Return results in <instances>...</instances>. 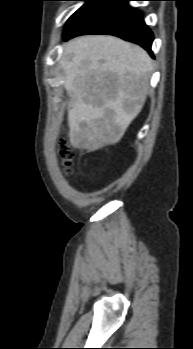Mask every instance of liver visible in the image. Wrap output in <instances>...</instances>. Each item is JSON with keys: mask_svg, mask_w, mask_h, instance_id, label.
I'll return each instance as SVG.
<instances>
[{"mask_svg": "<svg viewBox=\"0 0 193 349\" xmlns=\"http://www.w3.org/2000/svg\"><path fill=\"white\" fill-rule=\"evenodd\" d=\"M64 46L71 145L91 152L118 143L144 105L151 58L141 47L106 35L77 37Z\"/></svg>", "mask_w": 193, "mask_h": 349, "instance_id": "liver-1", "label": "liver"}]
</instances>
